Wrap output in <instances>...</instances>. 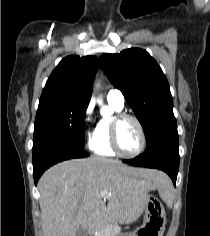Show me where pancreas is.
<instances>
[{"instance_id":"pancreas-1","label":"pancreas","mask_w":210,"mask_h":236,"mask_svg":"<svg viewBox=\"0 0 210 236\" xmlns=\"http://www.w3.org/2000/svg\"><path fill=\"white\" fill-rule=\"evenodd\" d=\"M120 230L121 228L118 226L117 223L110 221L108 228L106 229V232L109 233L108 236H115L114 234L118 233ZM98 236H102V235L98 234Z\"/></svg>"}]
</instances>
